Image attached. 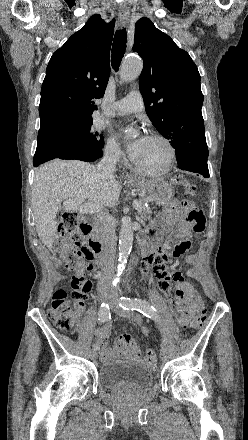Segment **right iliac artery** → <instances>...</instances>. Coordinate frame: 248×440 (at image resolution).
I'll use <instances>...</instances> for the list:
<instances>
[{"label": "right iliac artery", "mask_w": 248, "mask_h": 440, "mask_svg": "<svg viewBox=\"0 0 248 440\" xmlns=\"http://www.w3.org/2000/svg\"><path fill=\"white\" fill-rule=\"evenodd\" d=\"M109 319H111L110 307L108 304L102 303L100 306L99 312H98V320L100 323H104V322L108 321ZM93 349L98 350L99 345L94 344Z\"/></svg>", "instance_id": "82829eb1"}]
</instances>
